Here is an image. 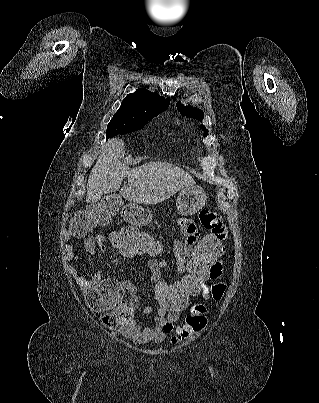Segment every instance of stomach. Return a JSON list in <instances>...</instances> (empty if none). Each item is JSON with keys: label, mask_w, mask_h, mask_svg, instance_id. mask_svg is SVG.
<instances>
[{"label": "stomach", "mask_w": 319, "mask_h": 403, "mask_svg": "<svg viewBox=\"0 0 319 403\" xmlns=\"http://www.w3.org/2000/svg\"><path fill=\"white\" fill-rule=\"evenodd\" d=\"M207 196L203 188L192 185L183 188L176 200L177 212L179 215L190 216L197 213L206 202ZM128 215V224H135L142 228H148L151 215L147 210L137 206H131Z\"/></svg>", "instance_id": "obj_1"}]
</instances>
